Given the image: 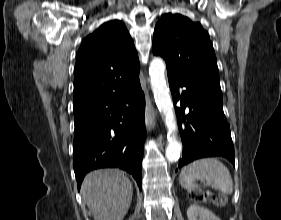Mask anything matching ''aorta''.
I'll return each instance as SVG.
<instances>
[{"label": "aorta", "mask_w": 281, "mask_h": 220, "mask_svg": "<svg viewBox=\"0 0 281 220\" xmlns=\"http://www.w3.org/2000/svg\"><path fill=\"white\" fill-rule=\"evenodd\" d=\"M165 63L161 58H154L149 66L151 87L156 105L165 117V125L168 129V146L166 148V158L169 162L177 161L181 153V144L176 138L177 123L173 110V103L169 88L165 80Z\"/></svg>", "instance_id": "obj_1"}]
</instances>
